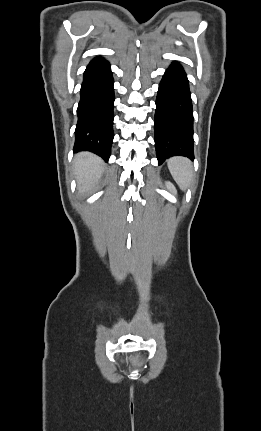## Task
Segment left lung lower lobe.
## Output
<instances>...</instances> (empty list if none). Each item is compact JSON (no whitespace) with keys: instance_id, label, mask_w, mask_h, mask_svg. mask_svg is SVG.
I'll return each mask as SVG.
<instances>
[{"instance_id":"1","label":"left lung lower lobe","mask_w":261,"mask_h":431,"mask_svg":"<svg viewBox=\"0 0 261 431\" xmlns=\"http://www.w3.org/2000/svg\"><path fill=\"white\" fill-rule=\"evenodd\" d=\"M154 132L159 164L177 155L194 159L192 100L187 75L177 62L159 85Z\"/></svg>"}]
</instances>
